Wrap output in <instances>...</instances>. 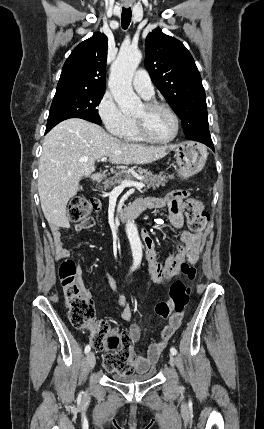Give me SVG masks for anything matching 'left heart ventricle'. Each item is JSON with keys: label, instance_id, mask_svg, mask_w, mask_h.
Returning a JSON list of instances; mask_svg holds the SVG:
<instances>
[{"label": "left heart ventricle", "instance_id": "left-heart-ventricle-1", "mask_svg": "<svg viewBox=\"0 0 264 429\" xmlns=\"http://www.w3.org/2000/svg\"><path fill=\"white\" fill-rule=\"evenodd\" d=\"M134 118L144 121L149 135L155 139H167L174 132V121L163 110L147 111L143 105L134 114Z\"/></svg>", "mask_w": 264, "mask_h": 429}]
</instances>
